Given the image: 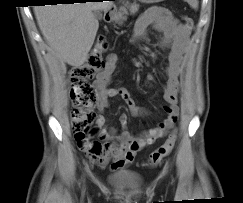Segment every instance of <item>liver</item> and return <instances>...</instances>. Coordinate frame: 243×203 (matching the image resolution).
I'll return each instance as SVG.
<instances>
[{
	"label": "liver",
	"mask_w": 243,
	"mask_h": 203,
	"mask_svg": "<svg viewBox=\"0 0 243 203\" xmlns=\"http://www.w3.org/2000/svg\"><path fill=\"white\" fill-rule=\"evenodd\" d=\"M111 6V1L41 5L34 12L51 48L69 65L80 67L88 59L99 28L93 11Z\"/></svg>",
	"instance_id": "obj_1"
}]
</instances>
